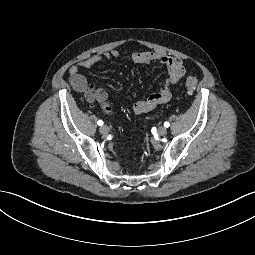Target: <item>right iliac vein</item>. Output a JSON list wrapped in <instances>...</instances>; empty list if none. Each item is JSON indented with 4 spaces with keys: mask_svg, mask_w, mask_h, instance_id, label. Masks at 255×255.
<instances>
[{
    "mask_svg": "<svg viewBox=\"0 0 255 255\" xmlns=\"http://www.w3.org/2000/svg\"><path fill=\"white\" fill-rule=\"evenodd\" d=\"M100 133L102 134H108L109 133V127L107 125H103L99 128Z\"/></svg>",
    "mask_w": 255,
    "mask_h": 255,
    "instance_id": "63e3f726",
    "label": "right iliac vein"
}]
</instances>
